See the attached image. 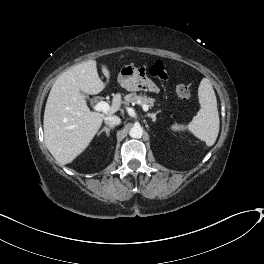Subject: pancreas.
Masks as SVG:
<instances>
[{
  "label": "pancreas",
  "mask_w": 264,
  "mask_h": 264,
  "mask_svg": "<svg viewBox=\"0 0 264 264\" xmlns=\"http://www.w3.org/2000/svg\"><path fill=\"white\" fill-rule=\"evenodd\" d=\"M125 101L126 103H132V104H140V105H148V107H153L155 103V99L150 98L146 95H138L136 93H131L125 95Z\"/></svg>",
  "instance_id": "cf45deb5"
}]
</instances>
